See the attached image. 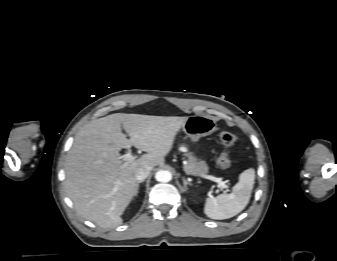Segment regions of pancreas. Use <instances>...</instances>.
Masks as SVG:
<instances>
[{"instance_id":"cf45deb5","label":"pancreas","mask_w":337,"mask_h":261,"mask_svg":"<svg viewBox=\"0 0 337 261\" xmlns=\"http://www.w3.org/2000/svg\"><path fill=\"white\" fill-rule=\"evenodd\" d=\"M187 164L184 165V171L186 174L198 176L208 173V165L204 160H198L192 153L187 155Z\"/></svg>"}]
</instances>
